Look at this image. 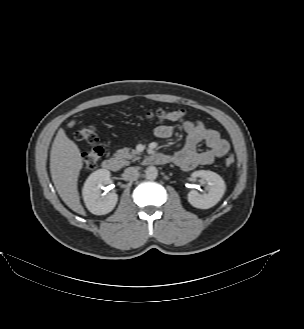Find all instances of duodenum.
<instances>
[{"label":"duodenum","mask_w":304,"mask_h":329,"mask_svg":"<svg viewBox=\"0 0 304 329\" xmlns=\"http://www.w3.org/2000/svg\"><path fill=\"white\" fill-rule=\"evenodd\" d=\"M147 162L150 164H169L171 158L165 154L157 153L150 156ZM102 166L104 169L112 172H117L120 168L119 162L113 157L105 158L102 162Z\"/></svg>","instance_id":"duodenum-1"}]
</instances>
